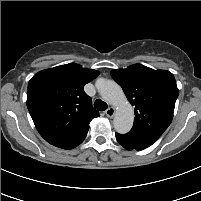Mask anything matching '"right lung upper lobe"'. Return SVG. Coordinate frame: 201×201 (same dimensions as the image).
Segmentation results:
<instances>
[{"label": "right lung upper lobe", "mask_w": 201, "mask_h": 201, "mask_svg": "<svg viewBox=\"0 0 201 201\" xmlns=\"http://www.w3.org/2000/svg\"><path fill=\"white\" fill-rule=\"evenodd\" d=\"M99 71L69 63L36 73L28 84L27 107L40 135L50 144L85 138L97 117L84 85Z\"/></svg>", "instance_id": "1"}]
</instances>
